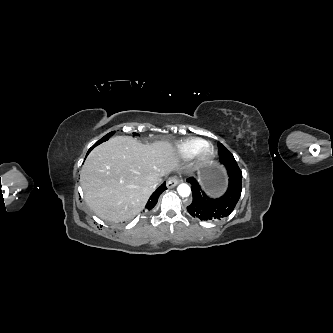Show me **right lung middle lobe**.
<instances>
[{
  "label": "right lung middle lobe",
  "instance_id": "dd1d6c3e",
  "mask_svg": "<svg viewBox=\"0 0 333 333\" xmlns=\"http://www.w3.org/2000/svg\"><path fill=\"white\" fill-rule=\"evenodd\" d=\"M114 134V131L113 132H110V133H108L107 135H105L101 140H99L98 142V144H100V143H102V142H104V141H106V140H108L109 139V137L110 136H112ZM135 135H138V134H136V133H134Z\"/></svg>",
  "mask_w": 333,
  "mask_h": 333
}]
</instances>
